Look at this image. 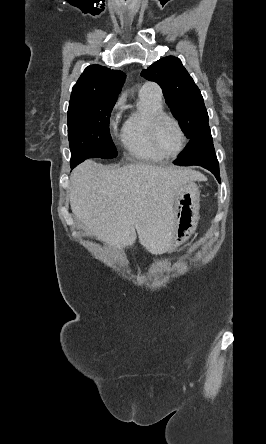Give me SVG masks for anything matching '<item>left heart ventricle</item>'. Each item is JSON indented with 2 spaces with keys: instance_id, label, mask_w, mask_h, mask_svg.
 Returning <instances> with one entry per match:
<instances>
[{
  "instance_id": "left-heart-ventricle-1",
  "label": "left heart ventricle",
  "mask_w": 266,
  "mask_h": 444,
  "mask_svg": "<svg viewBox=\"0 0 266 444\" xmlns=\"http://www.w3.org/2000/svg\"><path fill=\"white\" fill-rule=\"evenodd\" d=\"M157 141L164 153H175L181 143V138L176 125L169 119L163 120L157 130Z\"/></svg>"
}]
</instances>
